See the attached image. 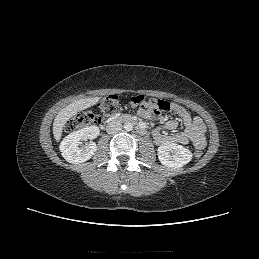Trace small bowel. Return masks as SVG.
Segmentation results:
<instances>
[{
  "label": "small bowel",
  "mask_w": 259,
  "mask_h": 259,
  "mask_svg": "<svg viewBox=\"0 0 259 259\" xmlns=\"http://www.w3.org/2000/svg\"><path fill=\"white\" fill-rule=\"evenodd\" d=\"M183 124V132H176L178 121L168 120L162 127L154 129L152 135L155 142L159 145L165 143H191L197 149H203L206 146V126L200 117H192L187 110L177 105L174 109ZM139 114L143 118H149L151 113L144 109H139Z\"/></svg>",
  "instance_id": "small-bowel-1"
}]
</instances>
